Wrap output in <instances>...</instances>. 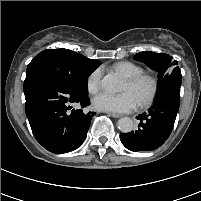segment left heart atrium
I'll return each instance as SVG.
<instances>
[{
    "label": "left heart atrium",
    "instance_id": "1",
    "mask_svg": "<svg viewBox=\"0 0 201 201\" xmlns=\"http://www.w3.org/2000/svg\"><path fill=\"white\" fill-rule=\"evenodd\" d=\"M93 107L99 111L110 113H126L132 111L138 104L129 91L121 94L102 93L93 99Z\"/></svg>",
    "mask_w": 201,
    "mask_h": 201
}]
</instances>
